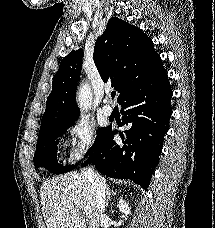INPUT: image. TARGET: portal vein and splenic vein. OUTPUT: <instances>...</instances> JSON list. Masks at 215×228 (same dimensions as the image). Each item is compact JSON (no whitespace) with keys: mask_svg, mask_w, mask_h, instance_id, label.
<instances>
[{"mask_svg":"<svg viewBox=\"0 0 215 228\" xmlns=\"http://www.w3.org/2000/svg\"><path fill=\"white\" fill-rule=\"evenodd\" d=\"M85 214H89V210H87V212H85Z\"/></svg>","mask_w":215,"mask_h":228,"instance_id":"1","label":"portal vein and splenic vein"}]
</instances>
